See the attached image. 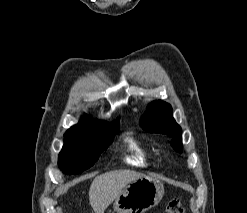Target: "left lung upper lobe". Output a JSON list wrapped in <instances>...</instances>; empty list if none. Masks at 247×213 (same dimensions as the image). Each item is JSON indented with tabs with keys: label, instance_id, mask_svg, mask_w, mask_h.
Masks as SVG:
<instances>
[{
	"label": "left lung upper lobe",
	"instance_id": "left-lung-upper-lobe-1",
	"mask_svg": "<svg viewBox=\"0 0 247 213\" xmlns=\"http://www.w3.org/2000/svg\"><path fill=\"white\" fill-rule=\"evenodd\" d=\"M144 130L167 134L174 138L172 146L176 151L181 150V127L175 122L171 106L164 101H154L148 106L146 114L141 118Z\"/></svg>",
	"mask_w": 247,
	"mask_h": 213
}]
</instances>
